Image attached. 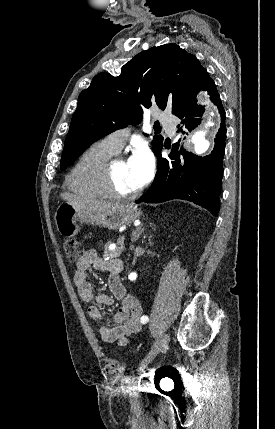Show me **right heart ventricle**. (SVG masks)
I'll return each instance as SVG.
<instances>
[{
    "label": "right heart ventricle",
    "mask_w": 275,
    "mask_h": 429,
    "mask_svg": "<svg viewBox=\"0 0 275 429\" xmlns=\"http://www.w3.org/2000/svg\"><path fill=\"white\" fill-rule=\"evenodd\" d=\"M115 153L101 141L92 144L71 170L67 180L68 188L85 198H106L104 189L105 167Z\"/></svg>",
    "instance_id": "obj_1"
}]
</instances>
